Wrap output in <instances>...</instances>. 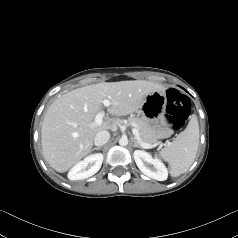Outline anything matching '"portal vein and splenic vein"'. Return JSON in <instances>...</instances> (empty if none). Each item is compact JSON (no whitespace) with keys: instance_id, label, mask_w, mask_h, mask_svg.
<instances>
[{"instance_id":"portal-vein-and-splenic-vein-1","label":"portal vein and splenic vein","mask_w":238,"mask_h":238,"mask_svg":"<svg viewBox=\"0 0 238 238\" xmlns=\"http://www.w3.org/2000/svg\"><path fill=\"white\" fill-rule=\"evenodd\" d=\"M103 105L105 107H109L110 106V100L109 99H104L103 100ZM105 116V113L104 111H100L96 114L95 116V120H94V126H100L103 122V118ZM132 132L135 136V139L138 141V143L143 147V148H146V149H150V148H154L157 144H148V143H145L141 140L140 138V134H139V131L136 129V128H133L132 129Z\"/></svg>"}]
</instances>
